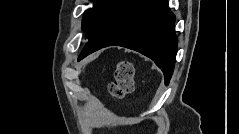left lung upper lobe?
<instances>
[{
  "label": "left lung upper lobe",
  "instance_id": "left-lung-upper-lobe-1",
  "mask_svg": "<svg viewBox=\"0 0 239 134\" xmlns=\"http://www.w3.org/2000/svg\"><path fill=\"white\" fill-rule=\"evenodd\" d=\"M92 1L94 2L93 8L86 10L82 19V30L86 32L88 39L92 38L107 24L124 0Z\"/></svg>",
  "mask_w": 239,
  "mask_h": 134
}]
</instances>
